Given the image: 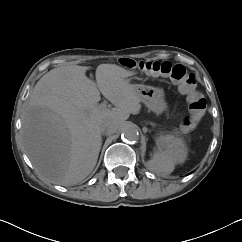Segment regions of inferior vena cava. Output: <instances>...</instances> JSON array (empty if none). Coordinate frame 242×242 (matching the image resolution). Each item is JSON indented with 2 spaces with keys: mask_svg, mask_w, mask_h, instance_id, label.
<instances>
[{
  "mask_svg": "<svg viewBox=\"0 0 242 242\" xmlns=\"http://www.w3.org/2000/svg\"><path fill=\"white\" fill-rule=\"evenodd\" d=\"M118 127L117 121L113 117H106L101 122V131L106 134H113L116 132Z\"/></svg>",
  "mask_w": 242,
  "mask_h": 242,
  "instance_id": "1",
  "label": "inferior vena cava"
}]
</instances>
